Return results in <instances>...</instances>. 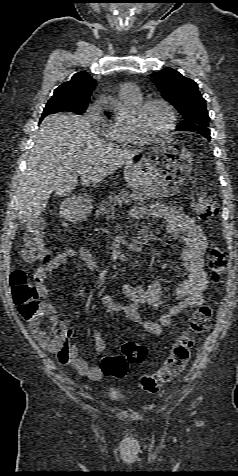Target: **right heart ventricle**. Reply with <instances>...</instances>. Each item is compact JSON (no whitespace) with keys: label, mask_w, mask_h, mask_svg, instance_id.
<instances>
[{"label":"right heart ventricle","mask_w":238,"mask_h":476,"mask_svg":"<svg viewBox=\"0 0 238 476\" xmlns=\"http://www.w3.org/2000/svg\"><path fill=\"white\" fill-rule=\"evenodd\" d=\"M119 101L121 109L105 122V135L115 145H125L134 142L136 139L132 135L128 127L129 113L142 101L140 94L128 95L119 93Z\"/></svg>","instance_id":"obj_1"}]
</instances>
